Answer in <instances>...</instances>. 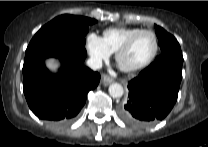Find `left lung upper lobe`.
<instances>
[{"label":"left lung upper lobe","instance_id":"left-lung-upper-lobe-1","mask_svg":"<svg viewBox=\"0 0 208 147\" xmlns=\"http://www.w3.org/2000/svg\"><path fill=\"white\" fill-rule=\"evenodd\" d=\"M155 29L161 48V55H173L183 59L181 48L176 38L160 26L155 25Z\"/></svg>","mask_w":208,"mask_h":147}]
</instances>
